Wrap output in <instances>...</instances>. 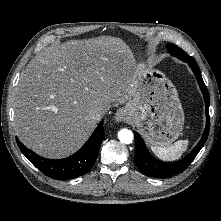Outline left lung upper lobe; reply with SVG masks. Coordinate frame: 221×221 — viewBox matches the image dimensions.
<instances>
[{
    "instance_id": "5c2ea615",
    "label": "left lung upper lobe",
    "mask_w": 221,
    "mask_h": 221,
    "mask_svg": "<svg viewBox=\"0 0 221 221\" xmlns=\"http://www.w3.org/2000/svg\"><path fill=\"white\" fill-rule=\"evenodd\" d=\"M166 47L172 55H174L175 57H177L183 61H187V60L192 59L191 56H189L185 51H183L181 48H179L176 45L169 44Z\"/></svg>"
}]
</instances>
